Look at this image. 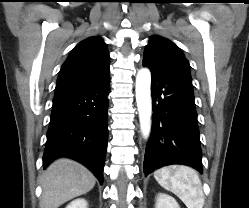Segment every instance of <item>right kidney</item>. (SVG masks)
<instances>
[{"label": "right kidney", "instance_id": "ca27d5eb", "mask_svg": "<svg viewBox=\"0 0 249 208\" xmlns=\"http://www.w3.org/2000/svg\"><path fill=\"white\" fill-rule=\"evenodd\" d=\"M87 201L85 199H76L72 201L66 208H87Z\"/></svg>", "mask_w": 249, "mask_h": 208}]
</instances>
